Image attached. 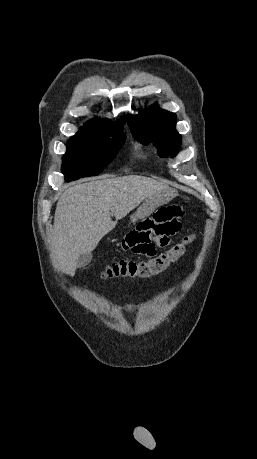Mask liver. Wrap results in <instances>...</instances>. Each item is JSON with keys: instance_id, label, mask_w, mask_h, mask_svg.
<instances>
[{"instance_id": "obj_1", "label": "liver", "mask_w": 257, "mask_h": 459, "mask_svg": "<svg viewBox=\"0 0 257 459\" xmlns=\"http://www.w3.org/2000/svg\"><path fill=\"white\" fill-rule=\"evenodd\" d=\"M168 188L154 179L130 175L79 184L58 200L51 235L52 261L74 276L80 255L93 251L121 219L146 198Z\"/></svg>"}]
</instances>
